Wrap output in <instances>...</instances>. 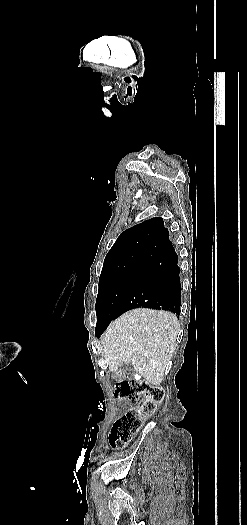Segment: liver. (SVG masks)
Wrapping results in <instances>:
<instances>
[{
  "label": "liver",
  "mask_w": 247,
  "mask_h": 525,
  "mask_svg": "<svg viewBox=\"0 0 247 525\" xmlns=\"http://www.w3.org/2000/svg\"><path fill=\"white\" fill-rule=\"evenodd\" d=\"M180 325L174 313L132 309L107 327L101 337L109 371L130 363L150 385H161L170 371Z\"/></svg>",
  "instance_id": "liver-1"
}]
</instances>
